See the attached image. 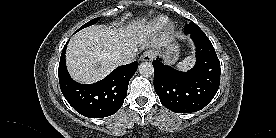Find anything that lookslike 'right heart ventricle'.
I'll return each mask as SVG.
<instances>
[{
    "label": "right heart ventricle",
    "mask_w": 276,
    "mask_h": 138,
    "mask_svg": "<svg viewBox=\"0 0 276 138\" xmlns=\"http://www.w3.org/2000/svg\"><path fill=\"white\" fill-rule=\"evenodd\" d=\"M168 22L169 19L166 16H159L150 23L149 30L151 32H158L162 30Z\"/></svg>",
    "instance_id": "right-heart-ventricle-1"
}]
</instances>
